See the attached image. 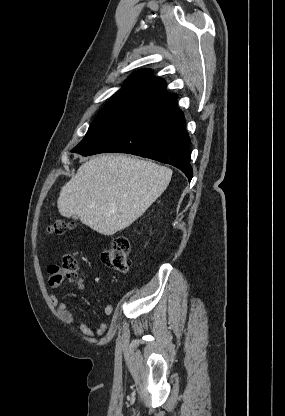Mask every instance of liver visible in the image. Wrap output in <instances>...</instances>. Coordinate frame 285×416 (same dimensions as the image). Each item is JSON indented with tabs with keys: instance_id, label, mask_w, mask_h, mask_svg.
<instances>
[{
	"instance_id": "obj_1",
	"label": "liver",
	"mask_w": 285,
	"mask_h": 416,
	"mask_svg": "<svg viewBox=\"0 0 285 416\" xmlns=\"http://www.w3.org/2000/svg\"><path fill=\"white\" fill-rule=\"evenodd\" d=\"M172 170L128 158L103 154L85 162L63 188L57 208L103 236H113L138 220L163 194Z\"/></svg>"
}]
</instances>
